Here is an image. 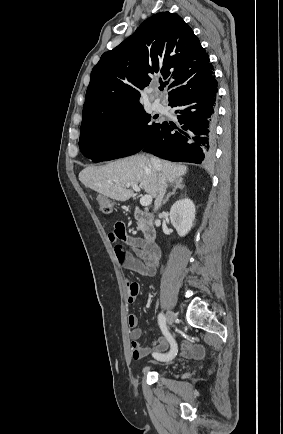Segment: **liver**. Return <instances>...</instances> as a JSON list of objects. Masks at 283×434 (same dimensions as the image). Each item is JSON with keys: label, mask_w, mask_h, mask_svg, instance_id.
<instances>
[{"label": "liver", "mask_w": 283, "mask_h": 434, "mask_svg": "<svg viewBox=\"0 0 283 434\" xmlns=\"http://www.w3.org/2000/svg\"><path fill=\"white\" fill-rule=\"evenodd\" d=\"M156 160L158 167L145 155H133L102 166H88L79 173V180L84 186L117 201L124 202L134 195L133 190L126 187L128 183H139L147 194L156 197L159 173L167 182L173 183L187 172L184 165Z\"/></svg>", "instance_id": "1"}]
</instances>
